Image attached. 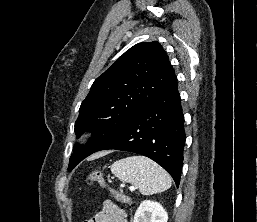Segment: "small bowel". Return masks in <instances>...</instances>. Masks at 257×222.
<instances>
[{"mask_svg":"<svg viewBox=\"0 0 257 222\" xmlns=\"http://www.w3.org/2000/svg\"><path fill=\"white\" fill-rule=\"evenodd\" d=\"M84 222H128L127 215L123 209L111 200H105L103 208L92 218Z\"/></svg>","mask_w":257,"mask_h":222,"instance_id":"small-bowel-1","label":"small bowel"}]
</instances>
